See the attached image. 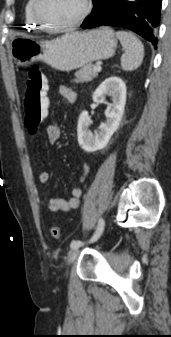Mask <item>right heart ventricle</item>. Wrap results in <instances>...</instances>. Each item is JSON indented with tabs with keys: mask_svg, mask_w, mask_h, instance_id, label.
<instances>
[{
	"mask_svg": "<svg viewBox=\"0 0 171 337\" xmlns=\"http://www.w3.org/2000/svg\"><path fill=\"white\" fill-rule=\"evenodd\" d=\"M34 0H26L24 6V21L28 29L41 30L42 26L36 21L33 12Z\"/></svg>",
	"mask_w": 171,
	"mask_h": 337,
	"instance_id": "e07e8e85",
	"label": "right heart ventricle"
}]
</instances>
